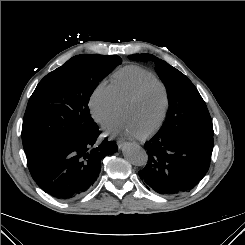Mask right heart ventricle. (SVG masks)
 <instances>
[{
	"label": "right heart ventricle",
	"instance_id": "right-heart-ventricle-1",
	"mask_svg": "<svg viewBox=\"0 0 245 245\" xmlns=\"http://www.w3.org/2000/svg\"><path fill=\"white\" fill-rule=\"evenodd\" d=\"M155 78L154 74L138 65H127L116 70L110 85L117 102H121L142 82Z\"/></svg>",
	"mask_w": 245,
	"mask_h": 245
}]
</instances>
